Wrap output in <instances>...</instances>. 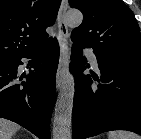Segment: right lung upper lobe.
Here are the masks:
<instances>
[{"label":"right lung upper lobe","mask_w":141,"mask_h":139,"mask_svg":"<svg viewBox=\"0 0 141 139\" xmlns=\"http://www.w3.org/2000/svg\"><path fill=\"white\" fill-rule=\"evenodd\" d=\"M61 0H0V59H12L40 48L52 39Z\"/></svg>","instance_id":"obj_1"}]
</instances>
